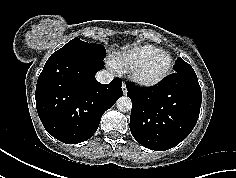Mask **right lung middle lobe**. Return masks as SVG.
I'll return each instance as SVG.
<instances>
[{
	"instance_id": "obj_1",
	"label": "right lung middle lobe",
	"mask_w": 236,
	"mask_h": 178,
	"mask_svg": "<svg viewBox=\"0 0 236 178\" xmlns=\"http://www.w3.org/2000/svg\"><path fill=\"white\" fill-rule=\"evenodd\" d=\"M78 50H84L96 53L102 57H105V48L103 45L95 44V43H87L79 40V38H74L71 41H69L65 46L54 52L53 54H61L65 52L70 51H78ZM52 54V55H53Z\"/></svg>"
}]
</instances>
